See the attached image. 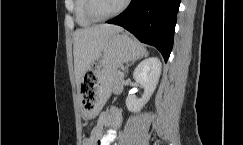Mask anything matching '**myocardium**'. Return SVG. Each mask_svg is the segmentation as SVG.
I'll return each mask as SVG.
<instances>
[{"label":"myocardium","instance_id":"obj_1","mask_svg":"<svg viewBox=\"0 0 243 145\" xmlns=\"http://www.w3.org/2000/svg\"><path fill=\"white\" fill-rule=\"evenodd\" d=\"M130 1L131 0H124L122 5L117 10H115L114 12L108 15L101 16L95 12L94 9L95 0H86L85 11L87 16L94 22L106 21L121 14L128 7Z\"/></svg>","mask_w":243,"mask_h":145}]
</instances>
